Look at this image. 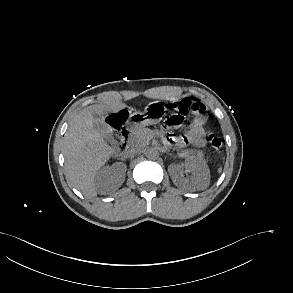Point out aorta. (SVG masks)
Returning a JSON list of instances; mask_svg holds the SVG:
<instances>
[{
  "label": "aorta",
  "mask_w": 293,
  "mask_h": 293,
  "mask_svg": "<svg viewBox=\"0 0 293 293\" xmlns=\"http://www.w3.org/2000/svg\"><path fill=\"white\" fill-rule=\"evenodd\" d=\"M146 156L150 160H156L159 158V152L158 150L151 148L146 152Z\"/></svg>",
  "instance_id": "1"
}]
</instances>
